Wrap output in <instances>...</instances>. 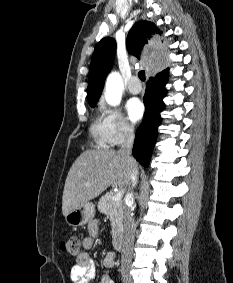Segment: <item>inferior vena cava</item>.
Wrapping results in <instances>:
<instances>
[{
  "label": "inferior vena cava",
  "mask_w": 233,
  "mask_h": 283,
  "mask_svg": "<svg viewBox=\"0 0 233 283\" xmlns=\"http://www.w3.org/2000/svg\"><path fill=\"white\" fill-rule=\"evenodd\" d=\"M126 140L121 145L120 150L118 151L122 155H126L130 157L133 142H134V130L132 126L126 127ZM137 175L138 171L135 170L132 176V187H135L137 184ZM126 205L123 210L124 214V238H123V245H122V253H121V268L122 270L131 266L132 262V253H133V244H134V237L136 231V224L133 218V203H134V196L132 192H128L125 197Z\"/></svg>",
  "instance_id": "1"
}]
</instances>
